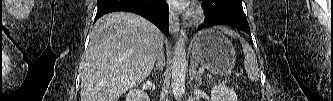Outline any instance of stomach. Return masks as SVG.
Returning a JSON list of instances; mask_svg holds the SVG:
<instances>
[{"label": "stomach", "instance_id": "obj_1", "mask_svg": "<svg viewBox=\"0 0 333 101\" xmlns=\"http://www.w3.org/2000/svg\"><path fill=\"white\" fill-rule=\"evenodd\" d=\"M194 60L215 74L228 75L236 61V52L230 42L217 30H204L196 34L190 45Z\"/></svg>", "mask_w": 333, "mask_h": 101}]
</instances>
